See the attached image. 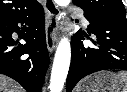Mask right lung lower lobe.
<instances>
[{
  "mask_svg": "<svg viewBox=\"0 0 127 92\" xmlns=\"http://www.w3.org/2000/svg\"><path fill=\"white\" fill-rule=\"evenodd\" d=\"M13 32L26 43L15 41ZM48 63L40 3L34 10L0 23V73L15 79L28 92H41Z\"/></svg>",
  "mask_w": 127,
  "mask_h": 92,
  "instance_id": "1",
  "label": "right lung lower lobe"
}]
</instances>
